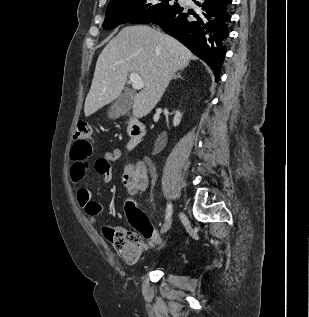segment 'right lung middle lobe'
Segmentation results:
<instances>
[{
	"label": "right lung middle lobe",
	"instance_id": "dd1d6c3e",
	"mask_svg": "<svg viewBox=\"0 0 309 317\" xmlns=\"http://www.w3.org/2000/svg\"><path fill=\"white\" fill-rule=\"evenodd\" d=\"M175 1L110 0L106 10L103 28L111 30L123 23H141L150 17L177 8L179 5Z\"/></svg>",
	"mask_w": 309,
	"mask_h": 317
}]
</instances>
